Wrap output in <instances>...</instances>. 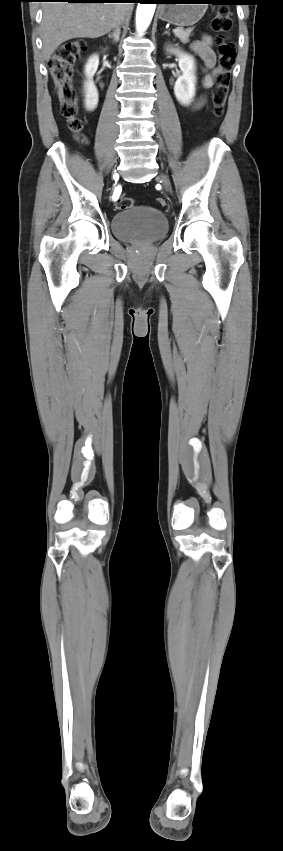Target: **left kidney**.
<instances>
[{
  "mask_svg": "<svg viewBox=\"0 0 283 851\" xmlns=\"http://www.w3.org/2000/svg\"><path fill=\"white\" fill-rule=\"evenodd\" d=\"M168 52L178 57L179 68L182 72V75L175 82L174 94L181 104L188 105L192 102L196 90L195 61L191 55L178 48H170Z\"/></svg>",
  "mask_w": 283,
  "mask_h": 851,
  "instance_id": "5707ae66",
  "label": "left kidney"
}]
</instances>
